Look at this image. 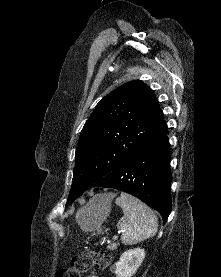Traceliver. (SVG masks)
Returning <instances> with one entry per match:
<instances>
[{
    "instance_id": "liver-1",
    "label": "liver",
    "mask_w": 221,
    "mask_h": 277,
    "mask_svg": "<svg viewBox=\"0 0 221 277\" xmlns=\"http://www.w3.org/2000/svg\"><path fill=\"white\" fill-rule=\"evenodd\" d=\"M113 197H114V195L110 194V195H103L100 198L106 200L107 202H111Z\"/></svg>"
}]
</instances>
